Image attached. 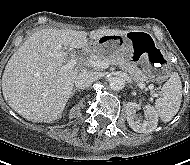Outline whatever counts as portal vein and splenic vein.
<instances>
[{"instance_id":"1","label":"portal vein and splenic vein","mask_w":190,"mask_h":165,"mask_svg":"<svg viewBox=\"0 0 190 165\" xmlns=\"http://www.w3.org/2000/svg\"><path fill=\"white\" fill-rule=\"evenodd\" d=\"M65 55H66V52H65V51L55 53V56H56V57H63V56H65ZM78 60H79V59H78L77 57H73L72 59H70V60L68 61L67 64H65V65L62 67V70L65 71V70H67V69H70V68L74 67V66L77 64ZM89 64H90L91 66H99L100 68H103V69L108 68L109 65H110L109 62L102 61V62L98 63V62H96V61L93 60V59H90V60H89ZM140 88H144V84H141V85H140ZM151 89H152V87H151Z\"/></svg>"}]
</instances>
